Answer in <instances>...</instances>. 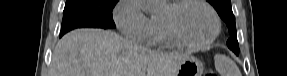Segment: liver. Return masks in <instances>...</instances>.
<instances>
[{"instance_id": "1", "label": "liver", "mask_w": 287, "mask_h": 76, "mask_svg": "<svg viewBox=\"0 0 287 76\" xmlns=\"http://www.w3.org/2000/svg\"><path fill=\"white\" fill-rule=\"evenodd\" d=\"M187 57L152 51L112 31L77 29L56 44L50 76H175Z\"/></svg>"}]
</instances>
